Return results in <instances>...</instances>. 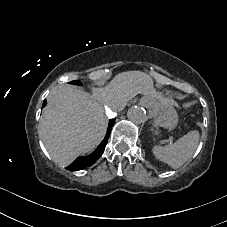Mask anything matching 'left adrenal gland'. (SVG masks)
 I'll return each mask as SVG.
<instances>
[{
    "instance_id": "obj_1",
    "label": "left adrenal gland",
    "mask_w": 227,
    "mask_h": 227,
    "mask_svg": "<svg viewBox=\"0 0 227 227\" xmlns=\"http://www.w3.org/2000/svg\"><path fill=\"white\" fill-rule=\"evenodd\" d=\"M158 133V127H156V133L155 134H157Z\"/></svg>"
}]
</instances>
